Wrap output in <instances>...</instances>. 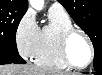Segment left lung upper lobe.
Returning <instances> with one entry per match:
<instances>
[{"instance_id":"obj_1","label":"left lung upper lobe","mask_w":102,"mask_h":75,"mask_svg":"<svg viewBox=\"0 0 102 75\" xmlns=\"http://www.w3.org/2000/svg\"><path fill=\"white\" fill-rule=\"evenodd\" d=\"M76 24L90 37L94 50V69L102 71V0H58Z\"/></svg>"}]
</instances>
